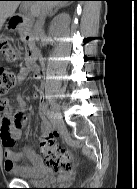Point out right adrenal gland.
Returning <instances> with one entry per match:
<instances>
[{
  "instance_id": "1",
  "label": "right adrenal gland",
  "mask_w": 137,
  "mask_h": 189,
  "mask_svg": "<svg viewBox=\"0 0 137 189\" xmlns=\"http://www.w3.org/2000/svg\"><path fill=\"white\" fill-rule=\"evenodd\" d=\"M64 6H65V4L58 5L53 12H50L49 16L52 17L60 8H62Z\"/></svg>"
}]
</instances>
